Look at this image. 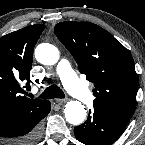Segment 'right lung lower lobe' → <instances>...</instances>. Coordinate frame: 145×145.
Returning <instances> with one entry per match:
<instances>
[{"label":"right lung lower lobe","mask_w":145,"mask_h":145,"mask_svg":"<svg viewBox=\"0 0 145 145\" xmlns=\"http://www.w3.org/2000/svg\"><path fill=\"white\" fill-rule=\"evenodd\" d=\"M50 102L46 101L35 110L25 112L18 118L0 122V139L11 145H33L40 137V121L49 112Z\"/></svg>","instance_id":"98d812e1"}]
</instances>
